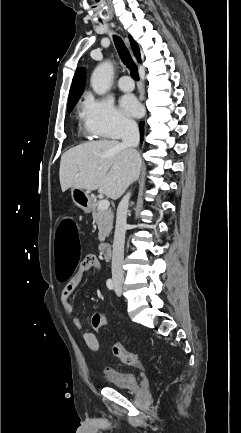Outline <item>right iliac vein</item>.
Wrapping results in <instances>:
<instances>
[{
    "label": "right iliac vein",
    "mask_w": 241,
    "mask_h": 433,
    "mask_svg": "<svg viewBox=\"0 0 241 433\" xmlns=\"http://www.w3.org/2000/svg\"><path fill=\"white\" fill-rule=\"evenodd\" d=\"M117 286L121 288L122 283H121V282H118V283H117Z\"/></svg>",
    "instance_id": "right-iliac-vein-1"
}]
</instances>
